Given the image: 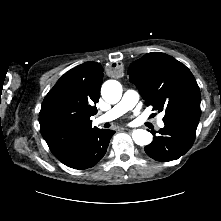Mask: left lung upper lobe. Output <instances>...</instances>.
I'll return each instance as SVG.
<instances>
[{"label":"left lung upper lobe","mask_w":221,"mask_h":221,"mask_svg":"<svg viewBox=\"0 0 221 221\" xmlns=\"http://www.w3.org/2000/svg\"><path fill=\"white\" fill-rule=\"evenodd\" d=\"M129 79L147 106L166 114L163 121L200 118V89L190 70L175 58L152 52L132 63Z\"/></svg>","instance_id":"obj_1"}]
</instances>
